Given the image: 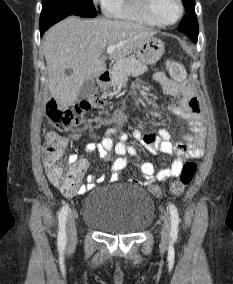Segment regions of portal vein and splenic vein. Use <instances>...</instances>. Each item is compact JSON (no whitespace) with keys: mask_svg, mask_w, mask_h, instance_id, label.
I'll return each mask as SVG.
<instances>
[{"mask_svg":"<svg viewBox=\"0 0 233 284\" xmlns=\"http://www.w3.org/2000/svg\"><path fill=\"white\" fill-rule=\"evenodd\" d=\"M116 46L115 45H110L107 47V53L111 54L115 50Z\"/></svg>","mask_w":233,"mask_h":284,"instance_id":"18ae733b","label":"portal vein and splenic vein"}]
</instances>
